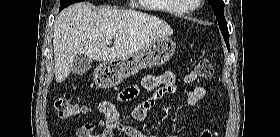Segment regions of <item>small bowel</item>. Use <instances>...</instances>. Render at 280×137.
<instances>
[{"mask_svg":"<svg viewBox=\"0 0 280 137\" xmlns=\"http://www.w3.org/2000/svg\"><path fill=\"white\" fill-rule=\"evenodd\" d=\"M141 86L147 90L159 89L150 98L133 109L131 117L135 122H142L145 120L156 104L168 94L180 90L185 96L186 105L189 107L197 105L206 96V90L202 86H196L192 90L180 89L176 84L175 75L171 72L147 75L142 79ZM125 90L132 92L134 96H136L139 92V87L137 85H131ZM116 102H123L120 95L113 102H103L100 105V112L103 114L104 120L96 124L93 122L84 123L77 129L76 137H115L117 132L124 134L125 137H147L140 129L128 124H123L119 121ZM96 127L101 129V132L97 135L94 134ZM172 137L177 136L174 135Z\"/></svg>","mask_w":280,"mask_h":137,"instance_id":"small-bowel-1","label":"small bowel"}]
</instances>
